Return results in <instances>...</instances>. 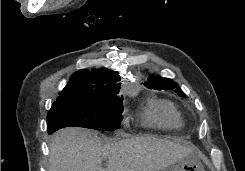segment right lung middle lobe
Listing matches in <instances>:
<instances>
[{
	"mask_svg": "<svg viewBox=\"0 0 245 171\" xmlns=\"http://www.w3.org/2000/svg\"><path fill=\"white\" fill-rule=\"evenodd\" d=\"M122 113V97L54 102L47 116L48 133L69 126L113 131L119 127Z\"/></svg>",
	"mask_w": 245,
	"mask_h": 171,
	"instance_id": "obj_1",
	"label": "right lung middle lobe"
}]
</instances>
